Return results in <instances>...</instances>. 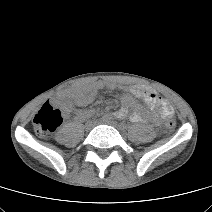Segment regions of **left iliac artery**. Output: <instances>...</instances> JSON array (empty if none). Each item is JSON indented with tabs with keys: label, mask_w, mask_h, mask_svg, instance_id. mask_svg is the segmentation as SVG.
<instances>
[{
	"label": "left iliac artery",
	"mask_w": 212,
	"mask_h": 212,
	"mask_svg": "<svg viewBox=\"0 0 212 212\" xmlns=\"http://www.w3.org/2000/svg\"><path fill=\"white\" fill-rule=\"evenodd\" d=\"M120 127L124 130L127 128V125L123 122L120 123Z\"/></svg>",
	"instance_id": "1"
}]
</instances>
